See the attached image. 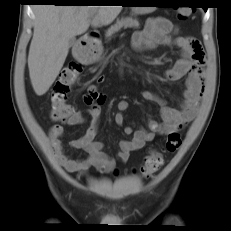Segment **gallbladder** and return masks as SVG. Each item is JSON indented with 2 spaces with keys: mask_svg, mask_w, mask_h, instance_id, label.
<instances>
[{
  "mask_svg": "<svg viewBox=\"0 0 231 231\" xmlns=\"http://www.w3.org/2000/svg\"><path fill=\"white\" fill-rule=\"evenodd\" d=\"M73 43H74V39H71L69 42L70 46L73 45Z\"/></svg>",
  "mask_w": 231,
  "mask_h": 231,
  "instance_id": "1",
  "label": "gallbladder"
}]
</instances>
